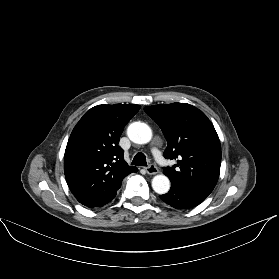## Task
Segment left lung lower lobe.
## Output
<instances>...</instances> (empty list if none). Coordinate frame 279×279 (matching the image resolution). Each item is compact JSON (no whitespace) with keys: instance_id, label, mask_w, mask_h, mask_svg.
<instances>
[{"instance_id":"0a47b994","label":"left lung lower lobe","mask_w":279,"mask_h":279,"mask_svg":"<svg viewBox=\"0 0 279 279\" xmlns=\"http://www.w3.org/2000/svg\"><path fill=\"white\" fill-rule=\"evenodd\" d=\"M160 198L174 208L189 209L203 202L206 196L171 185L169 192L161 195Z\"/></svg>"}]
</instances>
